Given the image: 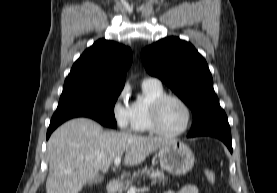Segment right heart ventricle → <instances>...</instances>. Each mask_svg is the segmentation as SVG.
<instances>
[{
    "label": "right heart ventricle",
    "mask_w": 277,
    "mask_h": 193,
    "mask_svg": "<svg viewBox=\"0 0 277 193\" xmlns=\"http://www.w3.org/2000/svg\"><path fill=\"white\" fill-rule=\"evenodd\" d=\"M143 98L132 103V129L138 133H151L149 107L159 96L163 95L162 86L142 85Z\"/></svg>",
    "instance_id": "1"
}]
</instances>
